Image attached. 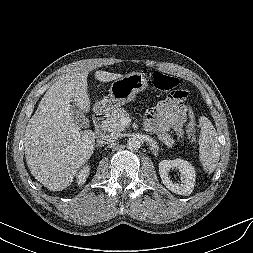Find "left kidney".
Returning a JSON list of instances; mask_svg holds the SVG:
<instances>
[{"label": "left kidney", "instance_id": "1", "mask_svg": "<svg viewBox=\"0 0 253 253\" xmlns=\"http://www.w3.org/2000/svg\"><path fill=\"white\" fill-rule=\"evenodd\" d=\"M177 169L181 174V182L175 183L170 179V169ZM159 174L163 184L171 192L179 195H190L195 185V169L186 160L177 158L174 160H162L159 163Z\"/></svg>", "mask_w": 253, "mask_h": 253}]
</instances>
